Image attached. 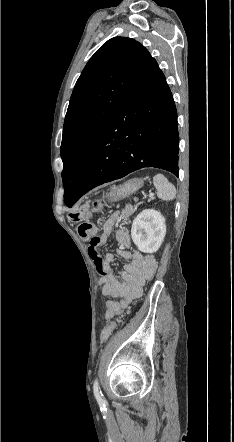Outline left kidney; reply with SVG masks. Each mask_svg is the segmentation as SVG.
<instances>
[{"mask_svg": "<svg viewBox=\"0 0 234 442\" xmlns=\"http://www.w3.org/2000/svg\"><path fill=\"white\" fill-rule=\"evenodd\" d=\"M165 234V218L156 210H143L133 221L132 240L141 252H156L160 248Z\"/></svg>", "mask_w": 234, "mask_h": 442, "instance_id": "5707ae66", "label": "left kidney"}]
</instances>
